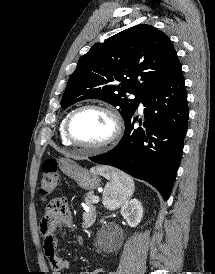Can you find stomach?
<instances>
[{
    "mask_svg": "<svg viewBox=\"0 0 215 274\" xmlns=\"http://www.w3.org/2000/svg\"><path fill=\"white\" fill-rule=\"evenodd\" d=\"M58 163L61 171L74 179L80 188L91 191L100 186L98 173L88 171L68 158H61Z\"/></svg>",
    "mask_w": 215,
    "mask_h": 274,
    "instance_id": "obj_1",
    "label": "stomach"
}]
</instances>
